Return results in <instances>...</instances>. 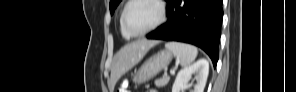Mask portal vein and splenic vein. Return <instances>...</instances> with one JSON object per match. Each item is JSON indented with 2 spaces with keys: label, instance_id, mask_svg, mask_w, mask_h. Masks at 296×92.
I'll return each mask as SVG.
<instances>
[{
  "label": "portal vein and splenic vein",
  "instance_id": "18ae733b",
  "mask_svg": "<svg viewBox=\"0 0 296 92\" xmlns=\"http://www.w3.org/2000/svg\"><path fill=\"white\" fill-rule=\"evenodd\" d=\"M170 73L171 74H174L175 73V70H171ZM165 76H167V74Z\"/></svg>",
  "mask_w": 296,
  "mask_h": 92
}]
</instances>
